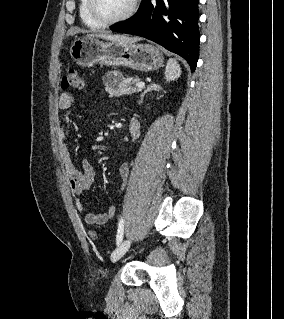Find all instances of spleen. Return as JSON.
Wrapping results in <instances>:
<instances>
[{
    "label": "spleen",
    "instance_id": "spleen-1",
    "mask_svg": "<svg viewBox=\"0 0 284 319\" xmlns=\"http://www.w3.org/2000/svg\"><path fill=\"white\" fill-rule=\"evenodd\" d=\"M181 75V68L178 62L170 58L167 62L166 69H165V79L167 82L174 81L175 79L179 78Z\"/></svg>",
    "mask_w": 284,
    "mask_h": 319
}]
</instances>
